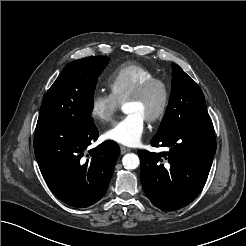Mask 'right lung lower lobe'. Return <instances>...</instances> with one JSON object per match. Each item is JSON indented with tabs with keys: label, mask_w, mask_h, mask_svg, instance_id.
Segmentation results:
<instances>
[{
	"label": "right lung lower lobe",
	"mask_w": 246,
	"mask_h": 246,
	"mask_svg": "<svg viewBox=\"0 0 246 246\" xmlns=\"http://www.w3.org/2000/svg\"><path fill=\"white\" fill-rule=\"evenodd\" d=\"M97 128L37 124L34 152L40 171L51 191L73 207H88L106 193L118 145L105 141L93 149Z\"/></svg>",
	"instance_id": "right-lung-lower-lobe-1"
}]
</instances>
